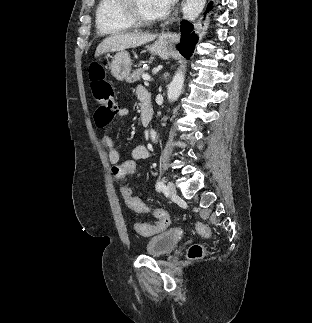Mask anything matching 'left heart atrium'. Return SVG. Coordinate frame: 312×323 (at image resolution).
Segmentation results:
<instances>
[{"instance_id": "1", "label": "left heart atrium", "mask_w": 312, "mask_h": 323, "mask_svg": "<svg viewBox=\"0 0 312 323\" xmlns=\"http://www.w3.org/2000/svg\"><path fill=\"white\" fill-rule=\"evenodd\" d=\"M157 5L152 6L153 12H174L177 8V0H155Z\"/></svg>"}]
</instances>
